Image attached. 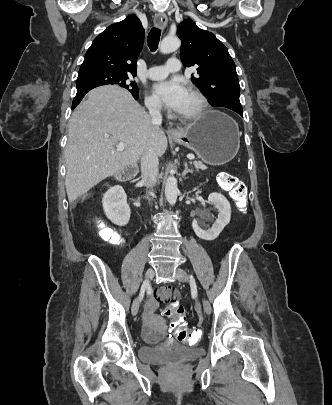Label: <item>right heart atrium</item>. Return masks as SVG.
<instances>
[{"label": "right heart atrium", "instance_id": "d8ad5b80", "mask_svg": "<svg viewBox=\"0 0 332 405\" xmlns=\"http://www.w3.org/2000/svg\"><path fill=\"white\" fill-rule=\"evenodd\" d=\"M145 105L150 111H159L161 109V104L153 96L147 95L145 97Z\"/></svg>", "mask_w": 332, "mask_h": 405}]
</instances>
